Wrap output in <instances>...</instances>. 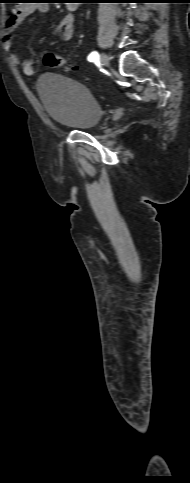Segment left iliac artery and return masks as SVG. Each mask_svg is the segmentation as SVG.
I'll use <instances>...</instances> for the list:
<instances>
[{"label":"left iliac artery","instance_id":"obj_1","mask_svg":"<svg viewBox=\"0 0 190 483\" xmlns=\"http://www.w3.org/2000/svg\"><path fill=\"white\" fill-rule=\"evenodd\" d=\"M98 59H99V54H98V52H96V51H93V52H92V53H90V55L88 56V60H89L90 62L96 61V60H98Z\"/></svg>","mask_w":190,"mask_h":483}]
</instances>
